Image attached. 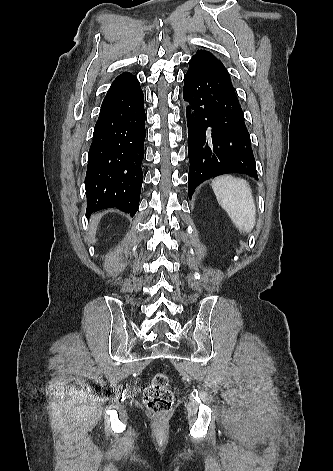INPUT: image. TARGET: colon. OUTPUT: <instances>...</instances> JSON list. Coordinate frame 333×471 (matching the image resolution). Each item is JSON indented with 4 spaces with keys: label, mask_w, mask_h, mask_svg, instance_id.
<instances>
[{
    "label": "colon",
    "mask_w": 333,
    "mask_h": 471,
    "mask_svg": "<svg viewBox=\"0 0 333 471\" xmlns=\"http://www.w3.org/2000/svg\"><path fill=\"white\" fill-rule=\"evenodd\" d=\"M143 401L145 406L158 416H166L170 412L174 397L165 373L160 372L153 377L144 390Z\"/></svg>",
    "instance_id": "colon-1"
}]
</instances>
